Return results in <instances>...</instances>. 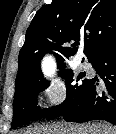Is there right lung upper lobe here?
Here are the masks:
<instances>
[{
  "mask_svg": "<svg viewBox=\"0 0 116 134\" xmlns=\"http://www.w3.org/2000/svg\"><path fill=\"white\" fill-rule=\"evenodd\" d=\"M80 40L89 61L94 54L116 42V1L53 0L39 9L19 52L15 95L43 80L40 61L46 53L56 56L61 70L66 66L64 58L76 53Z\"/></svg>",
  "mask_w": 116,
  "mask_h": 134,
  "instance_id": "cb5924a9",
  "label": "right lung upper lobe"
}]
</instances>
